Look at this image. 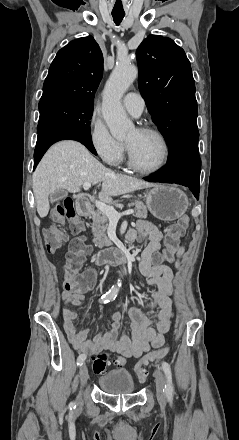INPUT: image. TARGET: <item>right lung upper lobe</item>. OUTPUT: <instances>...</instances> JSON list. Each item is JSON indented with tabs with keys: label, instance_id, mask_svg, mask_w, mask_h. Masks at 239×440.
I'll list each match as a JSON object with an SVG mask.
<instances>
[{
	"label": "right lung upper lobe",
	"instance_id": "obj_1",
	"mask_svg": "<svg viewBox=\"0 0 239 440\" xmlns=\"http://www.w3.org/2000/svg\"><path fill=\"white\" fill-rule=\"evenodd\" d=\"M103 74V55L92 36L71 41L60 49L49 68L39 103L75 99L93 105Z\"/></svg>",
	"mask_w": 239,
	"mask_h": 440
}]
</instances>
